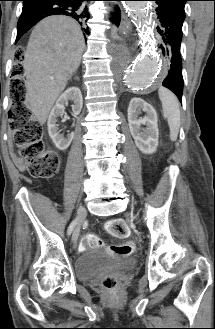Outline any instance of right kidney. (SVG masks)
Instances as JSON below:
<instances>
[{
    "label": "right kidney",
    "instance_id": "ca27d5eb",
    "mask_svg": "<svg viewBox=\"0 0 215 329\" xmlns=\"http://www.w3.org/2000/svg\"><path fill=\"white\" fill-rule=\"evenodd\" d=\"M70 100L73 101V115H79L83 106L82 94L78 87H70L57 99L56 104L48 117V134L59 150H66L74 138L73 133L67 134L66 137H64L63 134H60L58 125L56 124L57 118L63 116L65 105H67Z\"/></svg>",
    "mask_w": 215,
    "mask_h": 329
}]
</instances>
